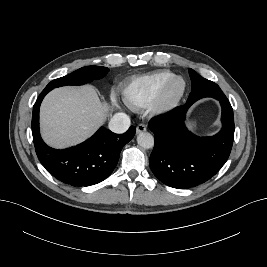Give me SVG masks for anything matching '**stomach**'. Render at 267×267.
I'll use <instances>...</instances> for the list:
<instances>
[{
    "instance_id": "0dacf381",
    "label": "stomach",
    "mask_w": 267,
    "mask_h": 267,
    "mask_svg": "<svg viewBox=\"0 0 267 267\" xmlns=\"http://www.w3.org/2000/svg\"><path fill=\"white\" fill-rule=\"evenodd\" d=\"M189 127H190V129H195L196 123L194 121H189Z\"/></svg>"
}]
</instances>
